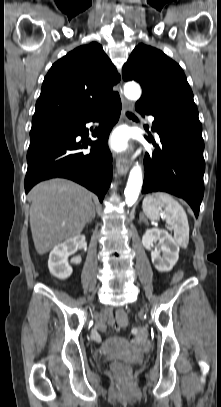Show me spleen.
<instances>
[{
	"label": "spleen",
	"instance_id": "spleen-1",
	"mask_svg": "<svg viewBox=\"0 0 221 407\" xmlns=\"http://www.w3.org/2000/svg\"><path fill=\"white\" fill-rule=\"evenodd\" d=\"M142 208L144 214L152 221L160 219V209L166 223L174 230V238L178 245L187 248L189 242L188 218L183 207L170 195L164 192H157L147 195Z\"/></svg>",
	"mask_w": 221,
	"mask_h": 407
}]
</instances>
